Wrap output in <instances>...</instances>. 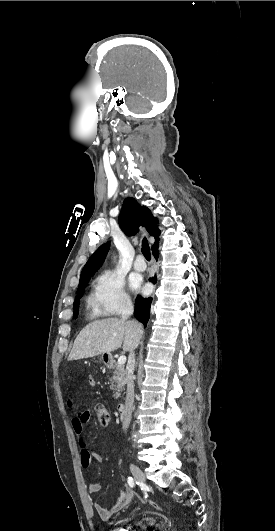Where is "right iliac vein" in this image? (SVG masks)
<instances>
[{
  "mask_svg": "<svg viewBox=\"0 0 275 531\" xmlns=\"http://www.w3.org/2000/svg\"><path fill=\"white\" fill-rule=\"evenodd\" d=\"M130 470L137 482L145 484V475L140 467L135 464H130Z\"/></svg>",
  "mask_w": 275,
  "mask_h": 531,
  "instance_id": "obj_1",
  "label": "right iliac vein"
}]
</instances>
